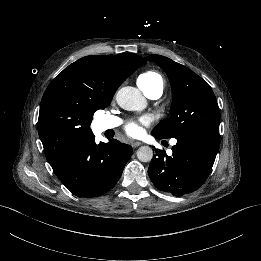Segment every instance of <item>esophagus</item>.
I'll list each match as a JSON object with an SVG mask.
<instances>
[{
    "instance_id": "esophagus-1",
    "label": "esophagus",
    "mask_w": 261,
    "mask_h": 261,
    "mask_svg": "<svg viewBox=\"0 0 261 261\" xmlns=\"http://www.w3.org/2000/svg\"><path fill=\"white\" fill-rule=\"evenodd\" d=\"M142 143L139 141L133 142L131 145L133 148H137L138 146H140Z\"/></svg>"
}]
</instances>
